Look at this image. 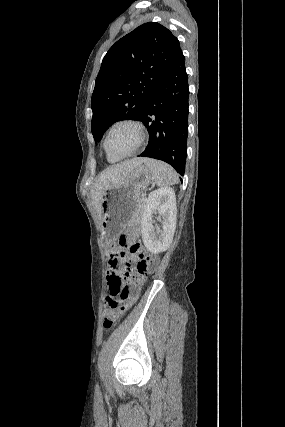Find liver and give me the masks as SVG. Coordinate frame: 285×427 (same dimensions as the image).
<instances>
[{
  "label": "liver",
  "instance_id": "6515ba94",
  "mask_svg": "<svg viewBox=\"0 0 285 427\" xmlns=\"http://www.w3.org/2000/svg\"><path fill=\"white\" fill-rule=\"evenodd\" d=\"M144 162V158H133L131 160H126L122 163L107 168L98 176L91 189V198L100 219L102 218V196L104 195L105 191L114 184L124 180L135 167L141 165Z\"/></svg>",
  "mask_w": 285,
  "mask_h": 427
}]
</instances>
